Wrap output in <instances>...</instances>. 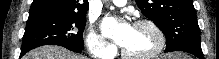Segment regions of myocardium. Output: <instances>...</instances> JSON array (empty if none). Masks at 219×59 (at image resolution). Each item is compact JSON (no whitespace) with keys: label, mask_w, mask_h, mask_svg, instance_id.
<instances>
[{"label":"myocardium","mask_w":219,"mask_h":59,"mask_svg":"<svg viewBox=\"0 0 219 59\" xmlns=\"http://www.w3.org/2000/svg\"><path fill=\"white\" fill-rule=\"evenodd\" d=\"M134 26H145L150 28L156 35L157 43L153 50L142 55H134L128 53L124 48H121V55L125 59H152L163 52L166 46V36L163 30L152 20L141 19L135 22Z\"/></svg>","instance_id":"1"}]
</instances>
